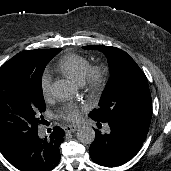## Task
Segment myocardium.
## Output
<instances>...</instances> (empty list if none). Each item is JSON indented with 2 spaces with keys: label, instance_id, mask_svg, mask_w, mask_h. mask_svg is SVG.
<instances>
[{
  "label": "myocardium",
  "instance_id": "f54148a6",
  "mask_svg": "<svg viewBox=\"0 0 171 171\" xmlns=\"http://www.w3.org/2000/svg\"><path fill=\"white\" fill-rule=\"evenodd\" d=\"M106 81V70L103 66H92L89 68L85 78L81 82L88 90L101 88Z\"/></svg>",
  "mask_w": 171,
  "mask_h": 171
}]
</instances>
